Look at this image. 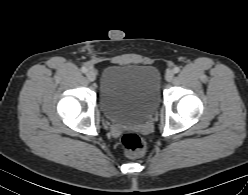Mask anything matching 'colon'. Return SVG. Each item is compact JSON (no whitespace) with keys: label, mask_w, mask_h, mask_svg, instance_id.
<instances>
[{"label":"colon","mask_w":248,"mask_h":195,"mask_svg":"<svg viewBox=\"0 0 248 195\" xmlns=\"http://www.w3.org/2000/svg\"><path fill=\"white\" fill-rule=\"evenodd\" d=\"M120 143L129 156H140L146 148L144 138L134 132H125L120 139Z\"/></svg>","instance_id":"5ec220e1"}]
</instances>
